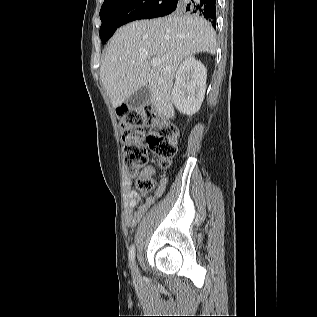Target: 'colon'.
<instances>
[{"label": "colon", "mask_w": 317, "mask_h": 317, "mask_svg": "<svg viewBox=\"0 0 317 317\" xmlns=\"http://www.w3.org/2000/svg\"><path fill=\"white\" fill-rule=\"evenodd\" d=\"M122 142L123 162L131 176H137L148 162V151L166 167L177 152L180 133L171 122L158 117L151 106L117 109ZM137 188L144 194L153 190L154 181L144 176L136 180Z\"/></svg>", "instance_id": "5ec220e1"}]
</instances>
